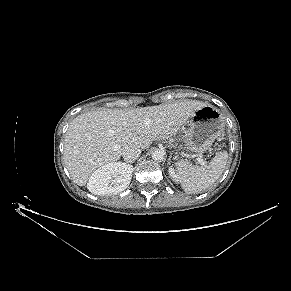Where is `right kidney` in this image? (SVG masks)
I'll return each mask as SVG.
<instances>
[{"mask_svg":"<svg viewBox=\"0 0 291 291\" xmlns=\"http://www.w3.org/2000/svg\"><path fill=\"white\" fill-rule=\"evenodd\" d=\"M133 167L112 162L98 168L89 178L88 190L95 195L116 194L126 189L132 178Z\"/></svg>","mask_w":291,"mask_h":291,"instance_id":"right-kidney-1","label":"right kidney"}]
</instances>
